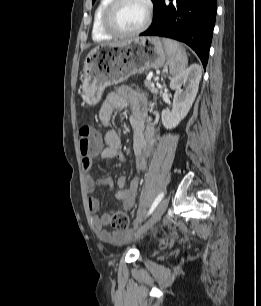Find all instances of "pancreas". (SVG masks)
Instances as JSON below:
<instances>
[{
	"label": "pancreas",
	"mask_w": 261,
	"mask_h": 306,
	"mask_svg": "<svg viewBox=\"0 0 261 306\" xmlns=\"http://www.w3.org/2000/svg\"><path fill=\"white\" fill-rule=\"evenodd\" d=\"M144 86H145L148 90H150L151 93H153V94H158V92H159V88L153 87V86H152V82H151L150 80H145V81H144Z\"/></svg>",
	"instance_id": "1"
}]
</instances>
